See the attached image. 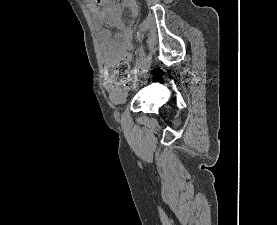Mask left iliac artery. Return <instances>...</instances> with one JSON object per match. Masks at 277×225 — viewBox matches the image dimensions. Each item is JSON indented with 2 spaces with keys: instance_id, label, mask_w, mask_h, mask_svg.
I'll return each instance as SVG.
<instances>
[{
  "instance_id": "left-iliac-artery-1",
  "label": "left iliac artery",
  "mask_w": 277,
  "mask_h": 225,
  "mask_svg": "<svg viewBox=\"0 0 277 225\" xmlns=\"http://www.w3.org/2000/svg\"><path fill=\"white\" fill-rule=\"evenodd\" d=\"M138 50H139V58L136 63L137 71L142 69V66H143V63L145 60V50H144L143 46H140Z\"/></svg>"
}]
</instances>
